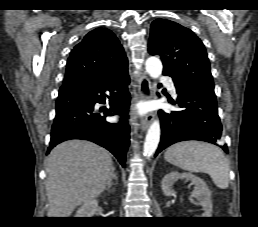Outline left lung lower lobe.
I'll use <instances>...</instances> for the list:
<instances>
[{"mask_svg": "<svg viewBox=\"0 0 258 227\" xmlns=\"http://www.w3.org/2000/svg\"><path fill=\"white\" fill-rule=\"evenodd\" d=\"M181 111L166 113L159 111L161 119V141L155 156L166 147L184 140H200L220 145L222 125L217 112L214 89L174 81ZM174 104V102H171Z\"/></svg>", "mask_w": 258, "mask_h": 227, "instance_id": "obj_1", "label": "left lung lower lobe"}]
</instances>
